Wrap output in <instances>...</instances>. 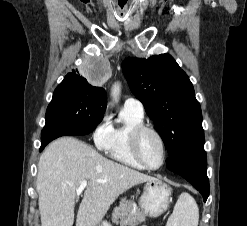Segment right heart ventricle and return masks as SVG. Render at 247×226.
Returning <instances> with one entry per match:
<instances>
[{"mask_svg": "<svg viewBox=\"0 0 247 226\" xmlns=\"http://www.w3.org/2000/svg\"><path fill=\"white\" fill-rule=\"evenodd\" d=\"M144 124V115L130 107L124 106L119 119L110 125V140L103 149L113 160L136 169H143L132 156L129 144L131 131Z\"/></svg>", "mask_w": 247, "mask_h": 226, "instance_id": "e07e8e85", "label": "right heart ventricle"}]
</instances>
